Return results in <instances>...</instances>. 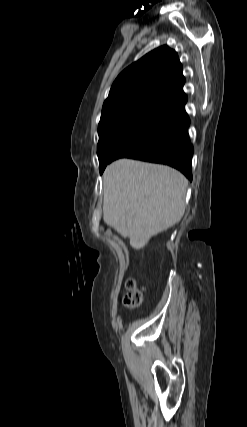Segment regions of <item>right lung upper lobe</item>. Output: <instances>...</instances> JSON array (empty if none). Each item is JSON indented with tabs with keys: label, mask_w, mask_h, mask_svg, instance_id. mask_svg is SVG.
I'll use <instances>...</instances> for the list:
<instances>
[{
	"label": "right lung upper lobe",
	"mask_w": 247,
	"mask_h": 427,
	"mask_svg": "<svg viewBox=\"0 0 247 427\" xmlns=\"http://www.w3.org/2000/svg\"><path fill=\"white\" fill-rule=\"evenodd\" d=\"M184 83L177 53L166 45L161 46L119 74L103 104L101 116L129 108L155 110L182 94Z\"/></svg>",
	"instance_id": "cb5924a9"
}]
</instances>
